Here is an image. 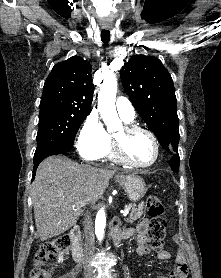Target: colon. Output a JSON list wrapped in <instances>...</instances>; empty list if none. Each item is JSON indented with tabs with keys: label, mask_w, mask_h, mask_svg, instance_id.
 Wrapping results in <instances>:
<instances>
[{
	"label": "colon",
	"mask_w": 221,
	"mask_h": 278,
	"mask_svg": "<svg viewBox=\"0 0 221 278\" xmlns=\"http://www.w3.org/2000/svg\"><path fill=\"white\" fill-rule=\"evenodd\" d=\"M146 208L150 216L148 225L149 245L153 250H162L167 232V222L163 218L164 206L159 198L150 196L146 201ZM70 239L67 236L46 242L40 246L34 257V264L30 271V278H51L45 268V263L57 253L67 249Z\"/></svg>",
	"instance_id": "obj_1"
}]
</instances>
